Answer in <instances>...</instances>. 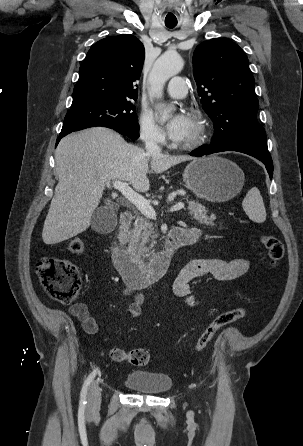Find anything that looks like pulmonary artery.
<instances>
[{"label":"pulmonary artery","instance_id":"1","mask_svg":"<svg viewBox=\"0 0 303 446\" xmlns=\"http://www.w3.org/2000/svg\"><path fill=\"white\" fill-rule=\"evenodd\" d=\"M168 97L172 99H180L184 97L187 93V83L183 77L175 76L173 77L166 89Z\"/></svg>","mask_w":303,"mask_h":446}]
</instances>
